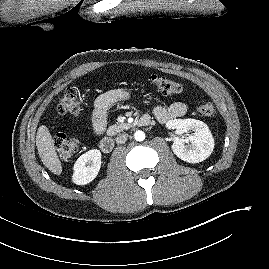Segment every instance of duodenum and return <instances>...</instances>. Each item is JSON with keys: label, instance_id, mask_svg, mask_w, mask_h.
Here are the masks:
<instances>
[{"label": "duodenum", "instance_id": "obj_1", "mask_svg": "<svg viewBox=\"0 0 269 269\" xmlns=\"http://www.w3.org/2000/svg\"><path fill=\"white\" fill-rule=\"evenodd\" d=\"M150 122H151V119L149 117H141L140 120L138 121L139 125L141 126L149 125ZM114 145H115L114 140L110 136H106L102 138L100 141V149L104 153H110L113 150Z\"/></svg>", "mask_w": 269, "mask_h": 269}]
</instances>
